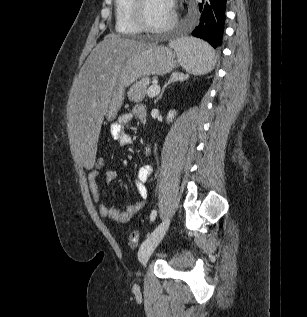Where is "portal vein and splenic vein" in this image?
<instances>
[{"mask_svg":"<svg viewBox=\"0 0 307 317\" xmlns=\"http://www.w3.org/2000/svg\"><path fill=\"white\" fill-rule=\"evenodd\" d=\"M160 92V86L153 83L149 88H148V96L150 98L155 97L158 93Z\"/></svg>","mask_w":307,"mask_h":317,"instance_id":"portal-vein-and-splenic-vein-1","label":"portal vein and splenic vein"}]
</instances>
